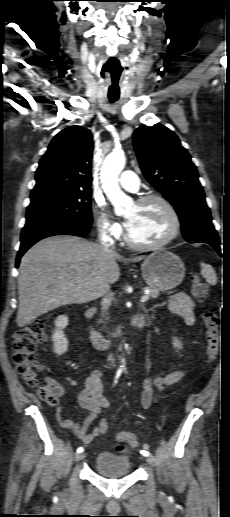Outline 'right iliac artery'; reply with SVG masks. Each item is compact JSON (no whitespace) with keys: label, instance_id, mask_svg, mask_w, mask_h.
Returning a JSON list of instances; mask_svg holds the SVG:
<instances>
[{"label":"right iliac artery","instance_id":"1","mask_svg":"<svg viewBox=\"0 0 230 517\" xmlns=\"http://www.w3.org/2000/svg\"><path fill=\"white\" fill-rule=\"evenodd\" d=\"M120 373H121L120 371H118V372H117V375H116V378H115V383L117 382V379H118V377L120 376ZM83 450H84V449H83V447H79V448L77 449V452H78V453H81V452H83Z\"/></svg>","mask_w":230,"mask_h":517}]
</instances>
